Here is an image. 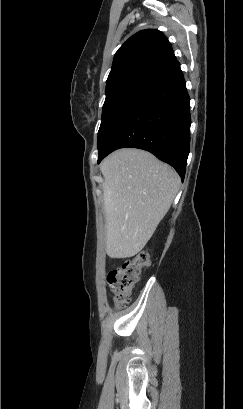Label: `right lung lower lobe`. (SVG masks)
<instances>
[{"label":"right lung lower lobe","instance_id":"right-lung-lower-lobe-1","mask_svg":"<svg viewBox=\"0 0 243 409\" xmlns=\"http://www.w3.org/2000/svg\"><path fill=\"white\" fill-rule=\"evenodd\" d=\"M190 98L180 66L165 76L114 131L98 163L123 147L151 152L184 179L190 149Z\"/></svg>","mask_w":243,"mask_h":409}]
</instances>
